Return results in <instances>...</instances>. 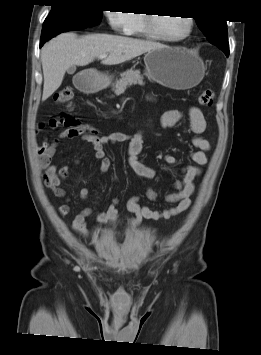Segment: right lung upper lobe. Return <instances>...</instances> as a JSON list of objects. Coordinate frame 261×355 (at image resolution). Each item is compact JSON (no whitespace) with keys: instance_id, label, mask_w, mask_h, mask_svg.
<instances>
[{"instance_id":"cb5924a9","label":"right lung upper lobe","mask_w":261,"mask_h":355,"mask_svg":"<svg viewBox=\"0 0 261 355\" xmlns=\"http://www.w3.org/2000/svg\"><path fill=\"white\" fill-rule=\"evenodd\" d=\"M51 3H57V2H60V1H63V0H50Z\"/></svg>"}]
</instances>
